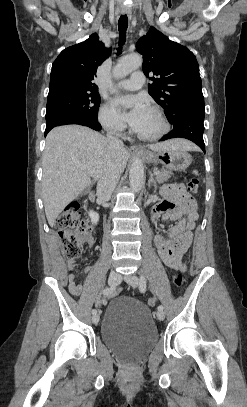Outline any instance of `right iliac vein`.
<instances>
[{"mask_svg":"<svg viewBox=\"0 0 247 407\" xmlns=\"http://www.w3.org/2000/svg\"><path fill=\"white\" fill-rule=\"evenodd\" d=\"M121 280V276L116 271H111L108 278V284L110 286L117 285ZM100 320V316L98 314L93 315L92 322L93 324L97 325Z\"/></svg>","mask_w":247,"mask_h":407,"instance_id":"right-iliac-vein-1","label":"right iliac vein"}]
</instances>
